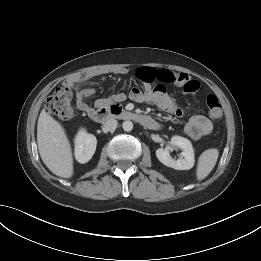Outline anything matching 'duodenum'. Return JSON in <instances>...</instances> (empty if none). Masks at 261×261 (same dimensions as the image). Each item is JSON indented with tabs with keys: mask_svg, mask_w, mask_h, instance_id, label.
<instances>
[{
	"mask_svg": "<svg viewBox=\"0 0 261 261\" xmlns=\"http://www.w3.org/2000/svg\"><path fill=\"white\" fill-rule=\"evenodd\" d=\"M91 117L95 121H103L110 117H118L125 120H132L140 123L149 129H158V123L150 116L124 110L118 104L104 105L92 111Z\"/></svg>",
	"mask_w": 261,
	"mask_h": 261,
	"instance_id": "1",
	"label": "duodenum"
}]
</instances>
